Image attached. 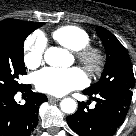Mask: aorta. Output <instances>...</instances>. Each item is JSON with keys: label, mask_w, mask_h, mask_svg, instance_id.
<instances>
[{"label": "aorta", "mask_w": 136, "mask_h": 136, "mask_svg": "<svg viewBox=\"0 0 136 136\" xmlns=\"http://www.w3.org/2000/svg\"><path fill=\"white\" fill-rule=\"evenodd\" d=\"M44 60L51 66H66L72 62L71 55L63 49L50 47L44 53ZM60 108L64 113L71 114L76 111L77 104L72 98H65L60 103Z\"/></svg>", "instance_id": "1"}]
</instances>
